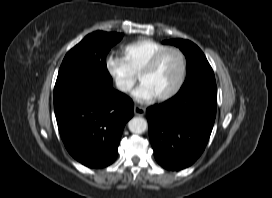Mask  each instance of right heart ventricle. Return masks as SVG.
<instances>
[{"mask_svg": "<svg viewBox=\"0 0 272 198\" xmlns=\"http://www.w3.org/2000/svg\"><path fill=\"white\" fill-rule=\"evenodd\" d=\"M167 47V45L156 40L141 38L126 44L122 48V53L130 69L138 75L157 52Z\"/></svg>", "mask_w": 272, "mask_h": 198, "instance_id": "obj_1", "label": "right heart ventricle"}]
</instances>
